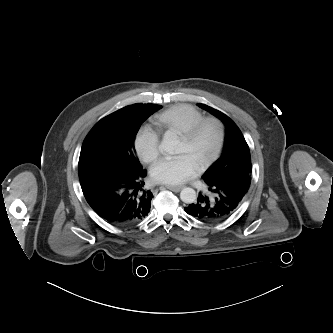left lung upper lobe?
Masks as SVG:
<instances>
[{"mask_svg": "<svg viewBox=\"0 0 333 333\" xmlns=\"http://www.w3.org/2000/svg\"><path fill=\"white\" fill-rule=\"evenodd\" d=\"M198 105L221 119L227 130V138L220 158L207 169L203 176L214 181L238 178L251 182L250 151L240 129L222 112L205 104Z\"/></svg>", "mask_w": 333, "mask_h": 333, "instance_id": "left-lung-upper-lobe-1", "label": "left lung upper lobe"}]
</instances>
